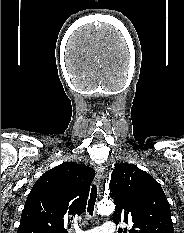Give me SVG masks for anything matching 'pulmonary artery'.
<instances>
[{"mask_svg": "<svg viewBox=\"0 0 184 233\" xmlns=\"http://www.w3.org/2000/svg\"><path fill=\"white\" fill-rule=\"evenodd\" d=\"M76 233H116V226L114 222L106 221L101 226L90 230H80L76 228Z\"/></svg>", "mask_w": 184, "mask_h": 233, "instance_id": "1", "label": "pulmonary artery"}]
</instances>
